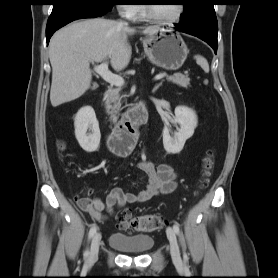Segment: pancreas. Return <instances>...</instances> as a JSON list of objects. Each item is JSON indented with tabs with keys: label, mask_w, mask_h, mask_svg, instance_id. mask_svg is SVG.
<instances>
[{
	"label": "pancreas",
	"mask_w": 278,
	"mask_h": 278,
	"mask_svg": "<svg viewBox=\"0 0 278 278\" xmlns=\"http://www.w3.org/2000/svg\"><path fill=\"white\" fill-rule=\"evenodd\" d=\"M168 81H171L181 87L187 88L190 84V78L188 75H183L181 73H176L172 76L167 77ZM120 88L111 89L106 93L105 97V106L107 112L111 114L112 118L117 119V114L121 107V99L123 96H120Z\"/></svg>",
	"instance_id": "obj_1"
}]
</instances>
